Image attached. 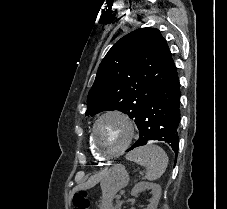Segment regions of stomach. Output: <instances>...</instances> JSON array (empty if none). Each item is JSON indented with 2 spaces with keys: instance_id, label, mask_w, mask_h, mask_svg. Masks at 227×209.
Here are the masks:
<instances>
[{
  "instance_id": "stomach-1",
  "label": "stomach",
  "mask_w": 227,
  "mask_h": 209,
  "mask_svg": "<svg viewBox=\"0 0 227 209\" xmlns=\"http://www.w3.org/2000/svg\"><path fill=\"white\" fill-rule=\"evenodd\" d=\"M129 182V175L125 167L121 164L114 165L106 170L101 180V209H112L113 198L116 193L127 186Z\"/></svg>"
}]
</instances>
